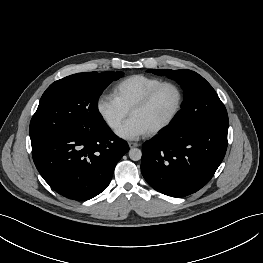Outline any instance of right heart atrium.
<instances>
[{"instance_id": "1", "label": "right heart atrium", "mask_w": 263, "mask_h": 263, "mask_svg": "<svg viewBox=\"0 0 263 263\" xmlns=\"http://www.w3.org/2000/svg\"><path fill=\"white\" fill-rule=\"evenodd\" d=\"M96 109L104 123L112 130L118 128L128 115V110L110 94H102L98 98Z\"/></svg>"}]
</instances>
